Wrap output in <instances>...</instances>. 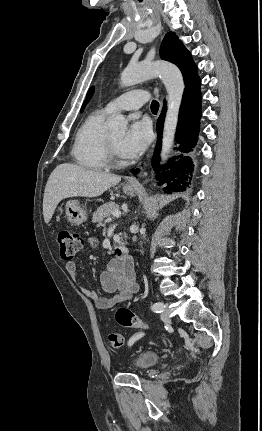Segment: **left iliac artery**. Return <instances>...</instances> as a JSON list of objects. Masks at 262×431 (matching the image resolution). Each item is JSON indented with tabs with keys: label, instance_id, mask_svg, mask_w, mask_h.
<instances>
[{
	"label": "left iliac artery",
	"instance_id": "1",
	"mask_svg": "<svg viewBox=\"0 0 262 431\" xmlns=\"http://www.w3.org/2000/svg\"><path fill=\"white\" fill-rule=\"evenodd\" d=\"M163 308H164V305H163V303H161V302H156V303H154L153 305H152V310L153 311H155L156 313H161V312H163ZM131 342V341H130ZM129 342V343H130Z\"/></svg>",
	"mask_w": 262,
	"mask_h": 431
}]
</instances>
